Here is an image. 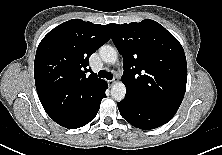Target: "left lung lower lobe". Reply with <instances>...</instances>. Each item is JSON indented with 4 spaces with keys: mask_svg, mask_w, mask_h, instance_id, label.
<instances>
[{
    "mask_svg": "<svg viewBox=\"0 0 222 155\" xmlns=\"http://www.w3.org/2000/svg\"><path fill=\"white\" fill-rule=\"evenodd\" d=\"M121 116L133 126L140 129H154L167 123L174 112L149 106L125 97L117 103Z\"/></svg>",
    "mask_w": 222,
    "mask_h": 155,
    "instance_id": "0a47b994",
    "label": "left lung lower lobe"
}]
</instances>
